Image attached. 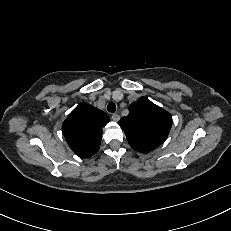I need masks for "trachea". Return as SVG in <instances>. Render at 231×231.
Listing matches in <instances>:
<instances>
[{"label":"trachea","instance_id":"trachea-1","mask_svg":"<svg viewBox=\"0 0 231 231\" xmlns=\"http://www.w3.org/2000/svg\"><path fill=\"white\" fill-rule=\"evenodd\" d=\"M107 110L111 113H114L116 111V105L114 102H110L108 105H107Z\"/></svg>","mask_w":231,"mask_h":231}]
</instances>
